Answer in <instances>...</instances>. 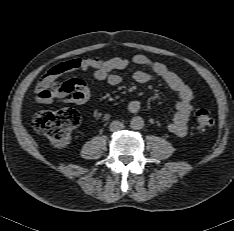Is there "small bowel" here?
<instances>
[{"mask_svg":"<svg viewBox=\"0 0 234 231\" xmlns=\"http://www.w3.org/2000/svg\"><path fill=\"white\" fill-rule=\"evenodd\" d=\"M79 64L81 70H93L95 79L105 81L113 87L120 85L122 81L121 76L115 71L125 69L130 65L149 68L151 72L135 71L133 74L134 81L140 84L160 81L177 94V111L167 123V129L180 138L187 135L188 120L193 110V93L187 83L165 64L154 61L143 54H135L130 57H113L106 60L98 57L84 58ZM61 65L52 67L39 80L35 87V102L38 104H50L55 97L61 101L74 104H84L89 101L91 90L83 79L70 80L57 94L50 92L51 84L60 75ZM68 93H71V95L67 96ZM139 109L140 102L137 100H133L128 104V110L132 113L138 112Z\"/></svg>","mask_w":234,"mask_h":231,"instance_id":"small-bowel-1","label":"small bowel"}]
</instances>
